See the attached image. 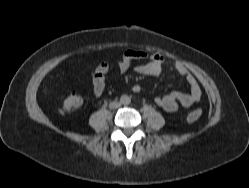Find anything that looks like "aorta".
I'll list each match as a JSON object with an SVG mask.
<instances>
[{
	"label": "aorta",
	"mask_w": 249,
	"mask_h": 188,
	"mask_svg": "<svg viewBox=\"0 0 249 188\" xmlns=\"http://www.w3.org/2000/svg\"><path fill=\"white\" fill-rule=\"evenodd\" d=\"M131 99L127 95H122L120 98V102L124 105H128L130 103Z\"/></svg>",
	"instance_id": "1"
}]
</instances>
